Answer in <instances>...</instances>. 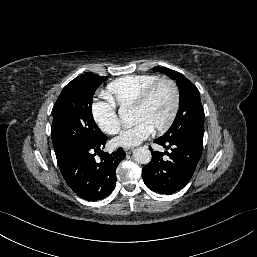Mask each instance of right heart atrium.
<instances>
[{"instance_id":"1","label":"right heart atrium","mask_w":257,"mask_h":257,"mask_svg":"<svg viewBox=\"0 0 257 257\" xmlns=\"http://www.w3.org/2000/svg\"><path fill=\"white\" fill-rule=\"evenodd\" d=\"M110 104L112 108L114 104H112L111 102ZM93 119L96 122L99 129L106 134L112 135L119 130V121L114 113L111 114L109 122H104L98 117L93 107Z\"/></svg>"}]
</instances>
